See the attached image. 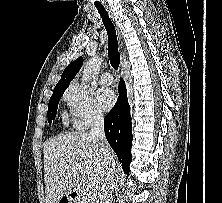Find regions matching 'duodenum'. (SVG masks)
<instances>
[{"instance_id":"1","label":"duodenum","mask_w":222,"mask_h":203,"mask_svg":"<svg viewBox=\"0 0 222 203\" xmlns=\"http://www.w3.org/2000/svg\"><path fill=\"white\" fill-rule=\"evenodd\" d=\"M85 201V194L80 189H73L68 198L62 203H83Z\"/></svg>"}]
</instances>
